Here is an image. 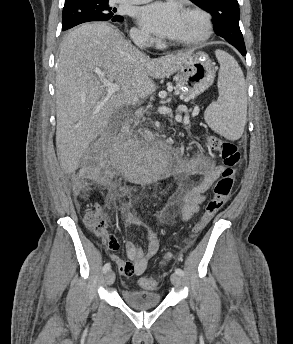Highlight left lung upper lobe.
<instances>
[{
    "label": "left lung upper lobe",
    "mask_w": 293,
    "mask_h": 344,
    "mask_svg": "<svg viewBox=\"0 0 293 344\" xmlns=\"http://www.w3.org/2000/svg\"><path fill=\"white\" fill-rule=\"evenodd\" d=\"M213 16L215 32L232 45H244L237 0H190Z\"/></svg>",
    "instance_id": "left-lung-upper-lobe-1"
}]
</instances>
